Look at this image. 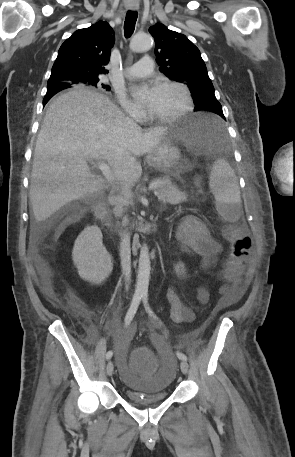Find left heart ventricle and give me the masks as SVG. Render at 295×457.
<instances>
[{
  "label": "left heart ventricle",
  "instance_id": "1",
  "mask_svg": "<svg viewBox=\"0 0 295 457\" xmlns=\"http://www.w3.org/2000/svg\"><path fill=\"white\" fill-rule=\"evenodd\" d=\"M159 91L150 111L158 116H167L178 112L184 105L181 91L176 87L159 86Z\"/></svg>",
  "mask_w": 295,
  "mask_h": 457
}]
</instances>
